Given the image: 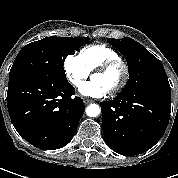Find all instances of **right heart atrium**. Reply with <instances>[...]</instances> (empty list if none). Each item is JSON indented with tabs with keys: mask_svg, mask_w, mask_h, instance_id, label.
Listing matches in <instances>:
<instances>
[{
	"mask_svg": "<svg viewBox=\"0 0 178 178\" xmlns=\"http://www.w3.org/2000/svg\"><path fill=\"white\" fill-rule=\"evenodd\" d=\"M64 74L73 86H79L90 75L79 56L68 55L63 63Z\"/></svg>",
	"mask_w": 178,
	"mask_h": 178,
	"instance_id": "1",
	"label": "right heart atrium"
}]
</instances>
